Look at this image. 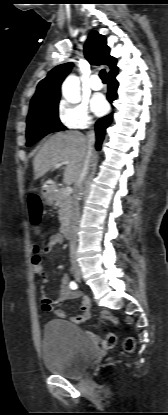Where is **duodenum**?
Returning <instances> with one entry per match:
<instances>
[{
	"instance_id": "duodenum-1",
	"label": "duodenum",
	"mask_w": 168,
	"mask_h": 415,
	"mask_svg": "<svg viewBox=\"0 0 168 415\" xmlns=\"http://www.w3.org/2000/svg\"><path fill=\"white\" fill-rule=\"evenodd\" d=\"M46 188L47 190L52 191L54 187L51 183H47ZM68 234H69V226L68 224L64 223L60 226V235L65 238L68 236Z\"/></svg>"
}]
</instances>
